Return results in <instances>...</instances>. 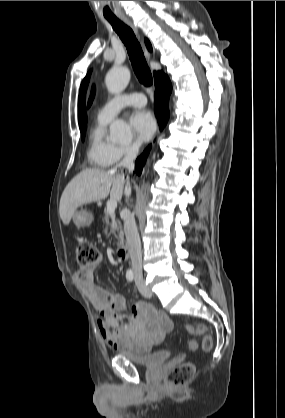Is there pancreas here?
Returning <instances> with one entry per match:
<instances>
[{
	"label": "pancreas",
	"instance_id": "obj_1",
	"mask_svg": "<svg viewBox=\"0 0 285 418\" xmlns=\"http://www.w3.org/2000/svg\"><path fill=\"white\" fill-rule=\"evenodd\" d=\"M104 215H105L104 219H105V222H106V232H107V229L110 228V232L114 233L115 236L119 239V243H117V245L122 244L123 241H124V237H123V232L121 230L120 223L119 222L117 223L115 215L114 214L110 215L107 212V210H104ZM109 217H110L111 221H109ZM116 232H117V234H116Z\"/></svg>",
	"mask_w": 285,
	"mask_h": 418
}]
</instances>
